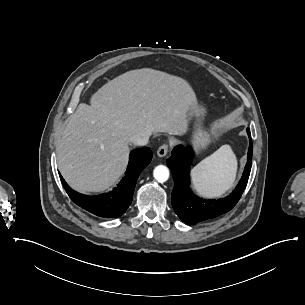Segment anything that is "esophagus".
<instances>
[{
	"label": "esophagus",
	"mask_w": 305,
	"mask_h": 305,
	"mask_svg": "<svg viewBox=\"0 0 305 305\" xmlns=\"http://www.w3.org/2000/svg\"><path fill=\"white\" fill-rule=\"evenodd\" d=\"M169 150V146L167 144H163L158 148L157 155L159 157H164Z\"/></svg>",
	"instance_id": "1"
}]
</instances>
